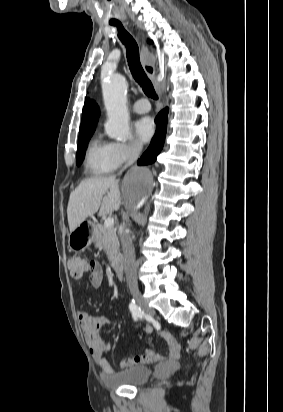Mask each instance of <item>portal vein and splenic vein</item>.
I'll list each match as a JSON object with an SVG mask.
<instances>
[{
    "instance_id": "18ae733b",
    "label": "portal vein and splenic vein",
    "mask_w": 283,
    "mask_h": 412,
    "mask_svg": "<svg viewBox=\"0 0 283 412\" xmlns=\"http://www.w3.org/2000/svg\"><path fill=\"white\" fill-rule=\"evenodd\" d=\"M114 225V219L109 217L107 219H105L104 221V227L109 228V227H113Z\"/></svg>"
}]
</instances>
